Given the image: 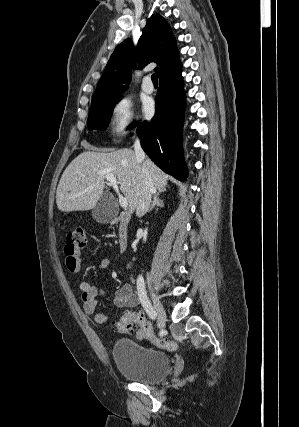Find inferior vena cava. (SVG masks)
Returning <instances> with one entry per match:
<instances>
[{"instance_id":"602c4592","label":"inferior vena cava","mask_w":299,"mask_h":427,"mask_svg":"<svg viewBox=\"0 0 299 427\" xmlns=\"http://www.w3.org/2000/svg\"><path fill=\"white\" fill-rule=\"evenodd\" d=\"M134 150L137 159L141 162V171L143 176L141 194L139 196V200L136 207V215L138 217H141L148 211L152 199V194L155 192V189L150 179L146 155L141 147L139 139H136L134 143Z\"/></svg>"}]
</instances>
